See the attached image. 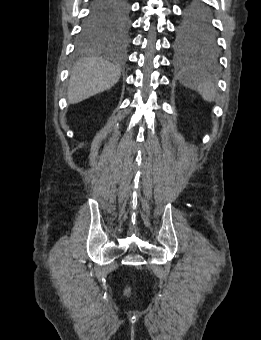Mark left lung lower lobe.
<instances>
[{"label": "left lung lower lobe", "mask_w": 261, "mask_h": 340, "mask_svg": "<svg viewBox=\"0 0 261 340\" xmlns=\"http://www.w3.org/2000/svg\"><path fill=\"white\" fill-rule=\"evenodd\" d=\"M196 2V0H194V2L193 3H195ZM199 2H201L200 0H199ZM202 3V2H201ZM203 4V3H202ZM204 5V4H203Z\"/></svg>", "instance_id": "left-lung-lower-lobe-1"}]
</instances>
